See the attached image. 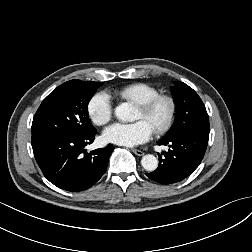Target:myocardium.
Masks as SVG:
<instances>
[{
    "mask_svg": "<svg viewBox=\"0 0 252 252\" xmlns=\"http://www.w3.org/2000/svg\"><path fill=\"white\" fill-rule=\"evenodd\" d=\"M144 118L153 121V129L157 133L166 132L172 125L176 113V104L168 95H157L148 102L139 105ZM159 110L161 114L158 115Z\"/></svg>",
    "mask_w": 252,
    "mask_h": 252,
    "instance_id": "f54148a6",
    "label": "myocardium"
}]
</instances>
